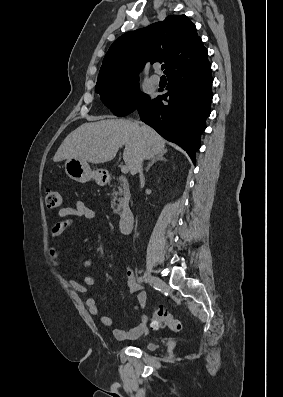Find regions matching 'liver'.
Instances as JSON below:
<instances>
[{"label":"liver","instance_id":"obj_1","mask_svg":"<svg viewBox=\"0 0 283 397\" xmlns=\"http://www.w3.org/2000/svg\"><path fill=\"white\" fill-rule=\"evenodd\" d=\"M125 146L123 160L132 175L144 159L165 152V140L151 127L124 119L84 123L72 131L58 148L53 160L77 158L93 164L111 161Z\"/></svg>","mask_w":283,"mask_h":397}]
</instances>
